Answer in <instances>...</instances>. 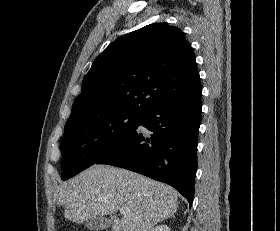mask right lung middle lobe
I'll list each match as a JSON object with an SVG mask.
<instances>
[{"label":"right lung middle lobe","instance_id":"dd1d6c3e","mask_svg":"<svg viewBox=\"0 0 280 231\" xmlns=\"http://www.w3.org/2000/svg\"><path fill=\"white\" fill-rule=\"evenodd\" d=\"M141 117L140 114L119 113L68 120L60 144L61 179L77 175L106 156L137 128Z\"/></svg>","mask_w":280,"mask_h":231}]
</instances>
